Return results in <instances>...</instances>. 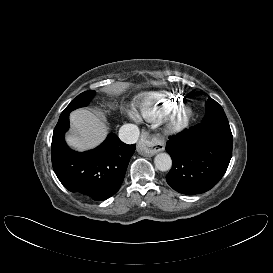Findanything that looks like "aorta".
I'll return each instance as SVG.
<instances>
[{
	"label": "aorta",
	"mask_w": 273,
	"mask_h": 273,
	"mask_svg": "<svg viewBox=\"0 0 273 273\" xmlns=\"http://www.w3.org/2000/svg\"><path fill=\"white\" fill-rule=\"evenodd\" d=\"M155 166L160 171H168L172 167V160L169 154L159 153L154 159Z\"/></svg>",
	"instance_id": "aorta-1"
}]
</instances>
